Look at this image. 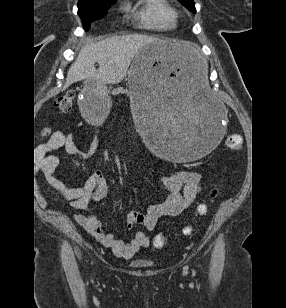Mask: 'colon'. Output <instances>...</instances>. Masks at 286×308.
Returning <instances> with one entry per match:
<instances>
[{
    "instance_id": "1",
    "label": "colon",
    "mask_w": 286,
    "mask_h": 308,
    "mask_svg": "<svg viewBox=\"0 0 286 308\" xmlns=\"http://www.w3.org/2000/svg\"><path fill=\"white\" fill-rule=\"evenodd\" d=\"M75 93L73 91H68L60 96H58L55 100V107L61 112H69L74 104ZM227 146L232 150H240L243 147V138L241 135L234 133L229 135L227 138ZM220 191L219 187H215L210 192V198H215ZM208 207L206 204H200L197 207V215L203 216L207 213ZM186 232H189V229H186ZM166 244V237L163 234H157L153 238V245L156 248H163Z\"/></svg>"
}]
</instances>
